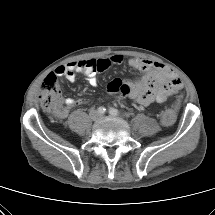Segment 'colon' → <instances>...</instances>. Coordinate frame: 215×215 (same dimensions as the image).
<instances>
[{
	"label": "colon",
	"instance_id": "1",
	"mask_svg": "<svg viewBox=\"0 0 215 215\" xmlns=\"http://www.w3.org/2000/svg\"><path fill=\"white\" fill-rule=\"evenodd\" d=\"M40 101L48 111L54 113L60 112L61 91L55 74L51 73L44 79ZM175 121V113L172 110H167L162 115V123L166 126L172 125Z\"/></svg>",
	"mask_w": 215,
	"mask_h": 215
}]
</instances>
